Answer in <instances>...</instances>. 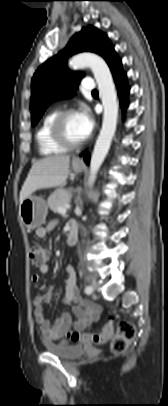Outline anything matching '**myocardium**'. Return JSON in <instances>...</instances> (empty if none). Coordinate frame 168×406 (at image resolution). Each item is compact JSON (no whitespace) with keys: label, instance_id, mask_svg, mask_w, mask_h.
Masks as SVG:
<instances>
[{"label":"myocardium","instance_id":"myocardium-1","mask_svg":"<svg viewBox=\"0 0 168 406\" xmlns=\"http://www.w3.org/2000/svg\"><path fill=\"white\" fill-rule=\"evenodd\" d=\"M72 114H77L75 109L69 108L57 113L52 121L50 133L52 140L64 148H77L84 144L87 138L80 141H71L67 138L64 131L65 120Z\"/></svg>","mask_w":168,"mask_h":406}]
</instances>
